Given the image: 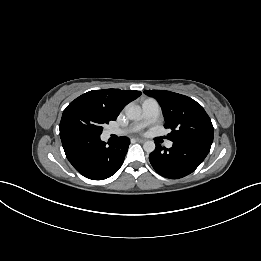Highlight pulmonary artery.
<instances>
[{
    "label": "pulmonary artery",
    "instance_id": "obj_1",
    "mask_svg": "<svg viewBox=\"0 0 261 261\" xmlns=\"http://www.w3.org/2000/svg\"><path fill=\"white\" fill-rule=\"evenodd\" d=\"M159 113V104L153 98H148L142 102V118L140 121L133 123L126 129H110L109 134L122 135L128 132L136 131L146 124L153 122ZM173 143L168 141L166 147H172Z\"/></svg>",
    "mask_w": 261,
    "mask_h": 261
}]
</instances>
